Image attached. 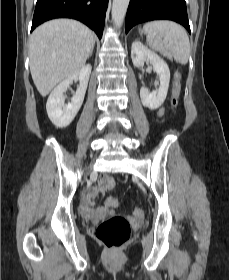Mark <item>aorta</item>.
I'll list each match as a JSON object with an SVG mask.
<instances>
[{"label": "aorta", "instance_id": "obj_1", "mask_svg": "<svg viewBox=\"0 0 229 280\" xmlns=\"http://www.w3.org/2000/svg\"><path fill=\"white\" fill-rule=\"evenodd\" d=\"M130 0H113L112 20L117 28L123 24Z\"/></svg>", "mask_w": 229, "mask_h": 280}]
</instances>
